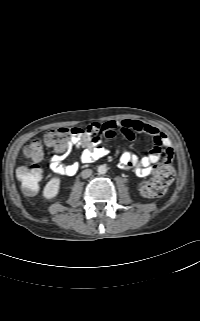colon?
Masks as SVG:
<instances>
[{
    "mask_svg": "<svg viewBox=\"0 0 200 321\" xmlns=\"http://www.w3.org/2000/svg\"><path fill=\"white\" fill-rule=\"evenodd\" d=\"M72 129L59 128L51 130L44 136V143L59 150H65L72 135ZM24 155L27 158L38 161L43 157V142L39 138H33L25 147ZM172 154L167 153L162 164L156 169L151 179L140 185V193L145 197H160L166 193L173 182L175 171L171 165ZM16 175L25 194L34 195L39 189V183L43 176L41 167L36 163L23 162L16 170Z\"/></svg>",
    "mask_w": 200,
    "mask_h": 321,
    "instance_id": "1",
    "label": "colon"
}]
</instances>
